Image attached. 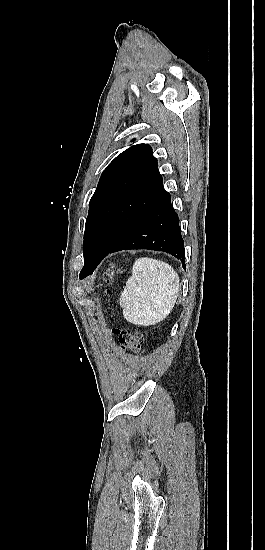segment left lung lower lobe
Returning <instances> with one entry per match:
<instances>
[{"mask_svg": "<svg viewBox=\"0 0 265 550\" xmlns=\"http://www.w3.org/2000/svg\"><path fill=\"white\" fill-rule=\"evenodd\" d=\"M126 249L158 250L181 260L185 258L179 218L171 205L168 192L111 249L103 253L95 249L91 250L84 258V267L79 278L83 279L92 274L109 253ZM182 265L185 268V264L182 263Z\"/></svg>", "mask_w": 265, "mask_h": 550, "instance_id": "1", "label": "left lung lower lobe"}]
</instances>
